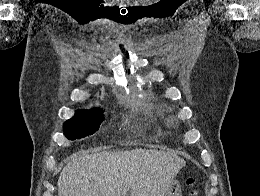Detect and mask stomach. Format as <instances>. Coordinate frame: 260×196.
I'll use <instances>...</instances> for the list:
<instances>
[{"instance_id": "1", "label": "stomach", "mask_w": 260, "mask_h": 196, "mask_svg": "<svg viewBox=\"0 0 260 196\" xmlns=\"http://www.w3.org/2000/svg\"><path fill=\"white\" fill-rule=\"evenodd\" d=\"M172 185H177V180L171 181ZM181 192H183V187H168L167 193H161V196H181Z\"/></svg>"}]
</instances>
